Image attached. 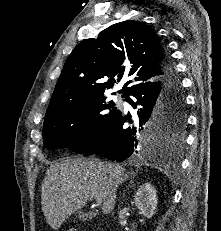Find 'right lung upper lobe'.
I'll return each instance as SVG.
<instances>
[{
    "instance_id": "1",
    "label": "right lung upper lobe",
    "mask_w": 221,
    "mask_h": 231,
    "mask_svg": "<svg viewBox=\"0 0 221 231\" xmlns=\"http://www.w3.org/2000/svg\"><path fill=\"white\" fill-rule=\"evenodd\" d=\"M164 52L155 32L134 20L108 27L97 39L84 40L69 55L45 118L71 100L104 96L123 75L130 79L118 91L124 95L159 81ZM115 76L119 79L115 80Z\"/></svg>"
}]
</instances>
